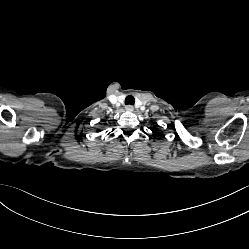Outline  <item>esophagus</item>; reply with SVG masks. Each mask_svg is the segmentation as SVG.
<instances>
[{
    "label": "esophagus",
    "mask_w": 249,
    "mask_h": 249,
    "mask_svg": "<svg viewBox=\"0 0 249 249\" xmlns=\"http://www.w3.org/2000/svg\"><path fill=\"white\" fill-rule=\"evenodd\" d=\"M126 111L132 112L134 110V107L132 105L125 106Z\"/></svg>",
    "instance_id": "esophagus-1"
}]
</instances>
